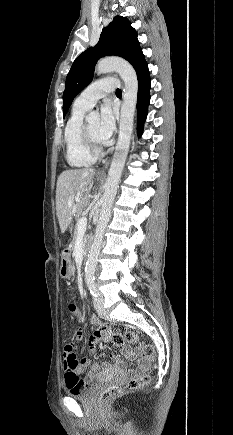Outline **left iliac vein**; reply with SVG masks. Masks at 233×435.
Segmentation results:
<instances>
[{
    "mask_svg": "<svg viewBox=\"0 0 233 435\" xmlns=\"http://www.w3.org/2000/svg\"><path fill=\"white\" fill-rule=\"evenodd\" d=\"M94 308L100 316H104L106 314L104 309V301L102 297H94L93 299Z\"/></svg>",
    "mask_w": 233,
    "mask_h": 435,
    "instance_id": "left-iliac-vein-1",
    "label": "left iliac vein"
}]
</instances>
